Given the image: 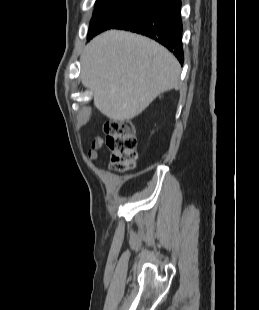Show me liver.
Here are the masks:
<instances>
[{
	"label": "liver",
	"instance_id": "liver-1",
	"mask_svg": "<svg viewBox=\"0 0 259 310\" xmlns=\"http://www.w3.org/2000/svg\"><path fill=\"white\" fill-rule=\"evenodd\" d=\"M81 82L109 119L131 120L161 93L176 88L181 67L159 43L110 30L92 39L81 55Z\"/></svg>",
	"mask_w": 259,
	"mask_h": 310
}]
</instances>
